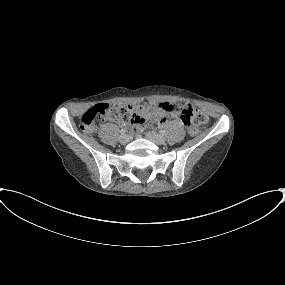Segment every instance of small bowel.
<instances>
[{
    "instance_id": "c3829d8e",
    "label": "small bowel",
    "mask_w": 285,
    "mask_h": 285,
    "mask_svg": "<svg viewBox=\"0 0 285 285\" xmlns=\"http://www.w3.org/2000/svg\"><path fill=\"white\" fill-rule=\"evenodd\" d=\"M175 104L171 102H159L155 103V110L147 113L145 115L140 116L135 123V126L138 127L139 129H143L145 127V122L149 118H154L158 123H165L169 119H176L177 113H175L172 108ZM179 124L182 126H186L191 133H196L198 132L197 128H193L187 124H185L182 120H178Z\"/></svg>"
}]
</instances>
